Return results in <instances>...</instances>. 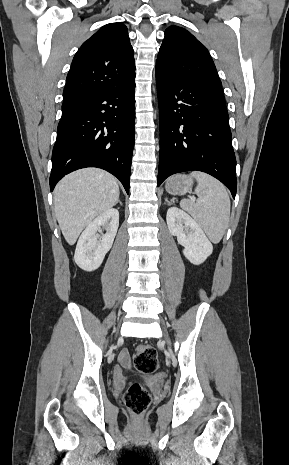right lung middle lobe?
<instances>
[{
    "instance_id": "right-lung-middle-lobe-1",
    "label": "right lung middle lobe",
    "mask_w": 289,
    "mask_h": 465,
    "mask_svg": "<svg viewBox=\"0 0 289 465\" xmlns=\"http://www.w3.org/2000/svg\"><path fill=\"white\" fill-rule=\"evenodd\" d=\"M75 107H76V104L63 105L62 106V117L67 116L68 114L73 112Z\"/></svg>"
}]
</instances>
